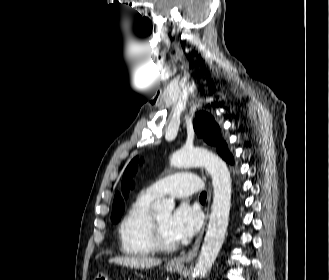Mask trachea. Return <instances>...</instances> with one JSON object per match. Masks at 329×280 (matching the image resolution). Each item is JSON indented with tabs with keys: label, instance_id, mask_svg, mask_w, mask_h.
Wrapping results in <instances>:
<instances>
[{
	"label": "trachea",
	"instance_id": "1",
	"mask_svg": "<svg viewBox=\"0 0 329 280\" xmlns=\"http://www.w3.org/2000/svg\"><path fill=\"white\" fill-rule=\"evenodd\" d=\"M206 198H207V193L205 191H203L200 195V200L205 201Z\"/></svg>",
	"mask_w": 329,
	"mask_h": 280
}]
</instances>
